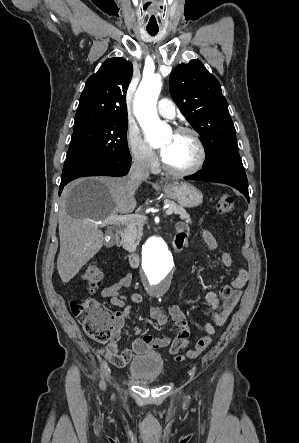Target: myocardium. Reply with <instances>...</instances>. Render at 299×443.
I'll return each instance as SVG.
<instances>
[{
	"label": "myocardium",
	"mask_w": 299,
	"mask_h": 443,
	"mask_svg": "<svg viewBox=\"0 0 299 443\" xmlns=\"http://www.w3.org/2000/svg\"><path fill=\"white\" fill-rule=\"evenodd\" d=\"M176 134H188L192 137L197 148V158L194 163L185 169H173L169 167L161 158V167L169 175L174 177H185L198 172L205 163L206 150L199 133L191 127H180L175 130Z\"/></svg>",
	"instance_id": "f54148a6"
}]
</instances>
